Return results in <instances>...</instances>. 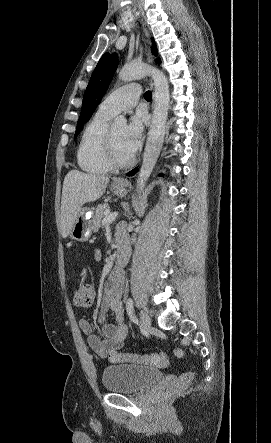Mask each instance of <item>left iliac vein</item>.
I'll use <instances>...</instances> for the list:
<instances>
[{
  "mask_svg": "<svg viewBox=\"0 0 271 443\" xmlns=\"http://www.w3.org/2000/svg\"><path fill=\"white\" fill-rule=\"evenodd\" d=\"M140 323L144 330H149L151 327V319L149 315L143 311L140 313Z\"/></svg>",
  "mask_w": 271,
  "mask_h": 443,
  "instance_id": "1",
  "label": "left iliac vein"
}]
</instances>
